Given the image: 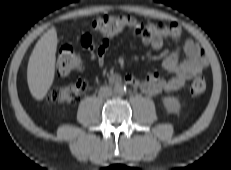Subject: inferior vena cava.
Segmentation results:
<instances>
[{
	"label": "inferior vena cava",
	"instance_id": "inferior-vena-cava-1",
	"mask_svg": "<svg viewBox=\"0 0 231 170\" xmlns=\"http://www.w3.org/2000/svg\"><path fill=\"white\" fill-rule=\"evenodd\" d=\"M111 95H112V88L111 87L103 86L100 88V90H99V96L100 97L107 98V97H110Z\"/></svg>",
	"mask_w": 231,
	"mask_h": 170
}]
</instances>
